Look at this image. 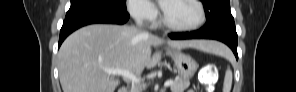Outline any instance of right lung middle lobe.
<instances>
[{"label": "right lung middle lobe", "instance_id": "dd1d6c3e", "mask_svg": "<svg viewBox=\"0 0 296 92\" xmlns=\"http://www.w3.org/2000/svg\"><path fill=\"white\" fill-rule=\"evenodd\" d=\"M78 3H97L115 10H126V0H71V5Z\"/></svg>", "mask_w": 296, "mask_h": 92}]
</instances>
